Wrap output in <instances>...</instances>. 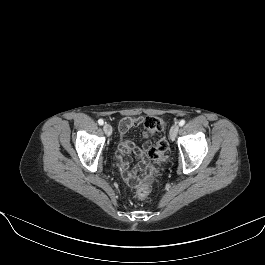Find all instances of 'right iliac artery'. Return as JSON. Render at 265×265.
I'll use <instances>...</instances> for the list:
<instances>
[{"label":"right iliac artery","instance_id":"1","mask_svg":"<svg viewBox=\"0 0 265 265\" xmlns=\"http://www.w3.org/2000/svg\"><path fill=\"white\" fill-rule=\"evenodd\" d=\"M98 123H99V125H103L104 124V121L102 119H99L98 120Z\"/></svg>","mask_w":265,"mask_h":265}]
</instances>
